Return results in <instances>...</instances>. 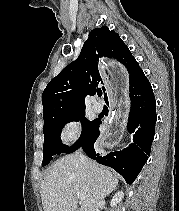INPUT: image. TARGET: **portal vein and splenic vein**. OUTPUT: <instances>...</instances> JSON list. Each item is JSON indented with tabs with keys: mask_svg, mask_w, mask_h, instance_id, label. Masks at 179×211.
<instances>
[{
	"mask_svg": "<svg viewBox=\"0 0 179 211\" xmlns=\"http://www.w3.org/2000/svg\"><path fill=\"white\" fill-rule=\"evenodd\" d=\"M77 198H78L79 200H83V199H84V195L81 194V193H77Z\"/></svg>",
	"mask_w": 179,
	"mask_h": 211,
	"instance_id": "18ae733b",
	"label": "portal vein and splenic vein"
}]
</instances>
